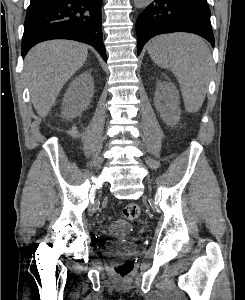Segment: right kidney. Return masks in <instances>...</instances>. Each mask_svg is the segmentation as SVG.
Returning <instances> with one entry per match:
<instances>
[{
    "instance_id": "1",
    "label": "right kidney",
    "mask_w": 245,
    "mask_h": 300,
    "mask_svg": "<svg viewBox=\"0 0 245 300\" xmlns=\"http://www.w3.org/2000/svg\"><path fill=\"white\" fill-rule=\"evenodd\" d=\"M93 94L94 82L91 73H81L71 82L64 95L61 116L66 119L79 116L87 109Z\"/></svg>"
}]
</instances>
